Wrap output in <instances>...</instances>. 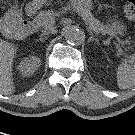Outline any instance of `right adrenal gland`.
Returning <instances> with one entry per match:
<instances>
[{
    "mask_svg": "<svg viewBox=\"0 0 135 135\" xmlns=\"http://www.w3.org/2000/svg\"><path fill=\"white\" fill-rule=\"evenodd\" d=\"M46 39H47V37L41 38L40 41H45Z\"/></svg>",
    "mask_w": 135,
    "mask_h": 135,
    "instance_id": "obj_1",
    "label": "right adrenal gland"
}]
</instances>
